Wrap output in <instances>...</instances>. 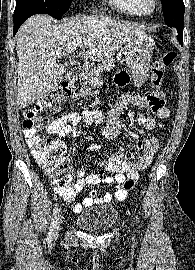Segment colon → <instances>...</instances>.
Returning <instances> with one entry per match:
<instances>
[{
    "label": "colon",
    "instance_id": "colon-1",
    "mask_svg": "<svg viewBox=\"0 0 195 270\" xmlns=\"http://www.w3.org/2000/svg\"><path fill=\"white\" fill-rule=\"evenodd\" d=\"M176 56L175 51L167 50L153 63L151 85L154 90L145 95L147 107L156 108L165 104V94L161 91L164 70L173 64ZM87 96L88 88L85 80L82 77H75L47 93L32 108L25 110L23 113L22 125L26 142L37 163L49 177L51 185L60 193H66L71 188V177L66 172L67 165L64 161L66 147L63 142L41 134L42 130L49 128L50 123L40 113L46 109L58 111L66 98L79 99ZM136 183L137 178L127 179L124 181L122 189L127 192Z\"/></svg>",
    "mask_w": 195,
    "mask_h": 270
}]
</instances>
